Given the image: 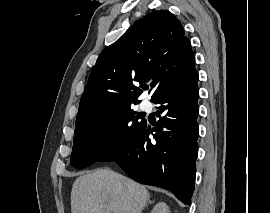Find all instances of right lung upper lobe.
<instances>
[{
    "label": "right lung upper lobe",
    "mask_w": 270,
    "mask_h": 213,
    "mask_svg": "<svg viewBox=\"0 0 270 213\" xmlns=\"http://www.w3.org/2000/svg\"><path fill=\"white\" fill-rule=\"evenodd\" d=\"M194 55L183 26L167 10H153L115 43L93 66L82 94L76 123L100 113L137 103L150 81L151 101L181 80L193 67ZM136 82L141 84L135 86Z\"/></svg>",
    "instance_id": "1"
}]
</instances>
